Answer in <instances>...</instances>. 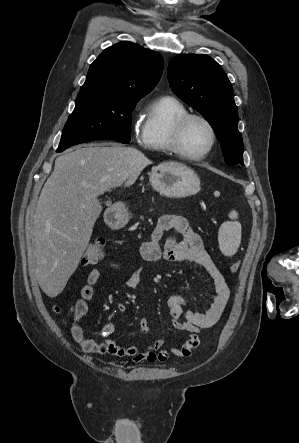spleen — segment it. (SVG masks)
I'll list each match as a JSON object with an SVG mask.
<instances>
[{
  "label": "spleen",
  "mask_w": 299,
  "mask_h": 443,
  "mask_svg": "<svg viewBox=\"0 0 299 443\" xmlns=\"http://www.w3.org/2000/svg\"><path fill=\"white\" fill-rule=\"evenodd\" d=\"M229 218L236 220L238 214L236 211H231ZM218 241L221 252L225 256L234 255L241 243V225L237 221L224 222L218 233Z\"/></svg>",
  "instance_id": "3e777b00"
}]
</instances>
